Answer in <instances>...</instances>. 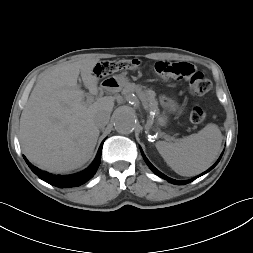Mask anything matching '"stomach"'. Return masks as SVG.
Listing matches in <instances>:
<instances>
[{"instance_id": "stomach-1", "label": "stomach", "mask_w": 253, "mask_h": 253, "mask_svg": "<svg viewBox=\"0 0 253 253\" xmlns=\"http://www.w3.org/2000/svg\"><path fill=\"white\" fill-rule=\"evenodd\" d=\"M108 78L107 80H109ZM112 81H105L102 85L103 88L109 91H118L125 87L128 84V78L124 75L113 76ZM157 122L159 125L163 126L167 123V116L165 114L159 115Z\"/></svg>"}]
</instances>
